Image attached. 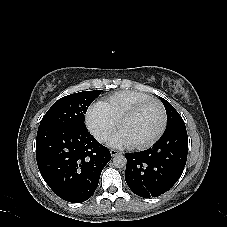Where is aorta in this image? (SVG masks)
Masks as SVG:
<instances>
[{
	"label": "aorta",
	"instance_id": "1",
	"mask_svg": "<svg viewBox=\"0 0 227 227\" xmlns=\"http://www.w3.org/2000/svg\"><path fill=\"white\" fill-rule=\"evenodd\" d=\"M126 164H127V159L124 155L117 154L113 157V165L116 168H118V169L124 168V167H126Z\"/></svg>",
	"mask_w": 227,
	"mask_h": 227
}]
</instances>
